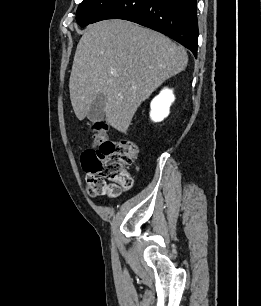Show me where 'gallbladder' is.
<instances>
[{
  "mask_svg": "<svg viewBox=\"0 0 261 306\" xmlns=\"http://www.w3.org/2000/svg\"><path fill=\"white\" fill-rule=\"evenodd\" d=\"M105 104H106L105 95L99 93L90 106V109L87 114L88 119L92 122H98L103 120Z\"/></svg>",
  "mask_w": 261,
  "mask_h": 306,
  "instance_id": "gallbladder-1",
  "label": "gallbladder"
}]
</instances>
